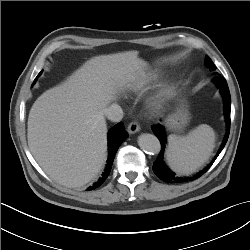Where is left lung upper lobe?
Instances as JSON below:
<instances>
[{"instance_id":"5c2ea615","label":"left lung upper lobe","mask_w":250,"mask_h":250,"mask_svg":"<svg viewBox=\"0 0 250 250\" xmlns=\"http://www.w3.org/2000/svg\"><path fill=\"white\" fill-rule=\"evenodd\" d=\"M206 66L209 67L211 70H216V66L213 64L212 60L206 56Z\"/></svg>"}]
</instances>
